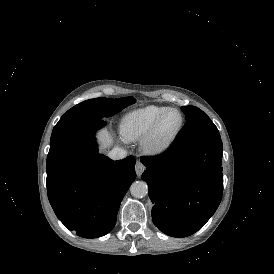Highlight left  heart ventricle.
I'll use <instances>...</instances> for the list:
<instances>
[{"instance_id":"left-heart-ventricle-1","label":"left heart ventricle","mask_w":274,"mask_h":274,"mask_svg":"<svg viewBox=\"0 0 274 274\" xmlns=\"http://www.w3.org/2000/svg\"><path fill=\"white\" fill-rule=\"evenodd\" d=\"M182 122L181 115L178 112L170 113L161 125L159 134L156 138L157 143L164 142L169 136L175 133Z\"/></svg>"}]
</instances>
